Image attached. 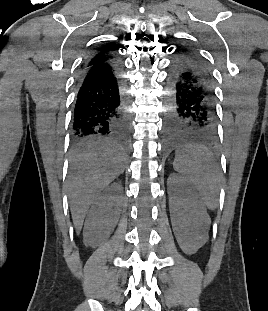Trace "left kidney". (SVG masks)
Wrapping results in <instances>:
<instances>
[{
    "instance_id": "1",
    "label": "left kidney",
    "mask_w": 268,
    "mask_h": 311,
    "mask_svg": "<svg viewBox=\"0 0 268 311\" xmlns=\"http://www.w3.org/2000/svg\"><path fill=\"white\" fill-rule=\"evenodd\" d=\"M167 183L174 235L183 252L192 255L207 241L210 218L188 179L173 173Z\"/></svg>"
}]
</instances>
